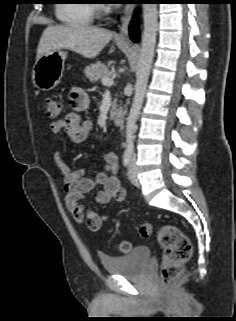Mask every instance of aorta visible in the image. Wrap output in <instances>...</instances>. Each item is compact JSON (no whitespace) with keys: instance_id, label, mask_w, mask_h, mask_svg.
Here are the masks:
<instances>
[{"instance_id":"obj_1","label":"aorta","mask_w":236,"mask_h":321,"mask_svg":"<svg viewBox=\"0 0 236 321\" xmlns=\"http://www.w3.org/2000/svg\"><path fill=\"white\" fill-rule=\"evenodd\" d=\"M143 23L144 28L136 72L135 94L126 119V144L128 149L133 148L135 124L143 105L154 58L157 35V4H143Z\"/></svg>"}]
</instances>
